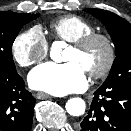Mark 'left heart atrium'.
<instances>
[{
	"label": "left heart atrium",
	"instance_id": "1",
	"mask_svg": "<svg viewBox=\"0 0 131 131\" xmlns=\"http://www.w3.org/2000/svg\"><path fill=\"white\" fill-rule=\"evenodd\" d=\"M28 81L33 89L54 95L79 92L88 85L85 70L75 61L41 64L30 72Z\"/></svg>",
	"mask_w": 131,
	"mask_h": 131
}]
</instances>
